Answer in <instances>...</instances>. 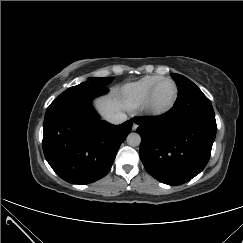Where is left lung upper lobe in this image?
<instances>
[{
    "label": "left lung upper lobe",
    "mask_w": 243,
    "mask_h": 243,
    "mask_svg": "<svg viewBox=\"0 0 243 243\" xmlns=\"http://www.w3.org/2000/svg\"><path fill=\"white\" fill-rule=\"evenodd\" d=\"M178 90L186 91L182 101V112L185 115L193 117H215L214 110L210 100L201 92V90L188 78L180 74L171 73Z\"/></svg>",
    "instance_id": "obj_1"
}]
</instances>
